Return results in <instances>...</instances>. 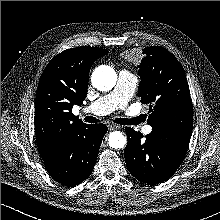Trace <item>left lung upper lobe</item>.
<instances>
[{
    "mask_svg": "<svg viewBox=\"0 0 220 220\" xmlns=\"http://www.w3.org/2000/svg\"><path fill=\"white\" fill-rule=\"evenodd\" d=\"M143 54L138 96L150 105L147 123L152 129L191 137L193 106L182 66L160 46L144 48Z\"/></svg>",
    "mask_w": 220,
    "mask_h": 220,
    "instance_id": "left-lung-upper-lobe-1",
    "label": "left lung upper lobe"
}]
</instances>
